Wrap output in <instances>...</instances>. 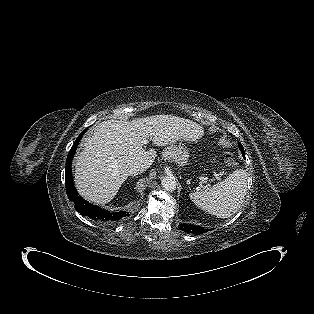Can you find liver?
<instances>
[{
    "mask_svg": "<svg viewBox=\"0 0 314 314\" xmlns=\"http://www.w3.org/2000/svg\"><path fill=\"white\" fill-rule=\"evenodd\" d=\"M201 135L200 125L171 115L103 121L92 136L84 138L82 152L75 158L76 188L86 200L106 204L127 180L128 165L139 164L145 171L154 162L156 151L143 148L149 139L165 146L178 140L196 141Z\"/></svg>",
    "mask_w": 314,
    "mask_h": 314,
    "instance_id": "obj_1",
    "label": "liver"
}]
</instances>
